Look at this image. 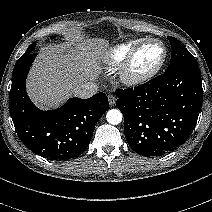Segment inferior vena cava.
I'll use <instances>...</instances> for the list:
<instances>
[{
    "label": "inferior vena cava",
    "instance_id": "inferior-vena-cava-1",
    "mask_svg": "<svg viewBox=\"0 0 212 212\" xmlns=\"http://www.w3.org/2000/svg\"><path fill=\"white\" fill-rule=\"evenodd\" d=\"M98 86L94 82H86L74 90V94L82 99L90 98L97 93Z\"/></svg>",
    "mask_w": 212,
    "mask_h": 212
}]
</instances>
